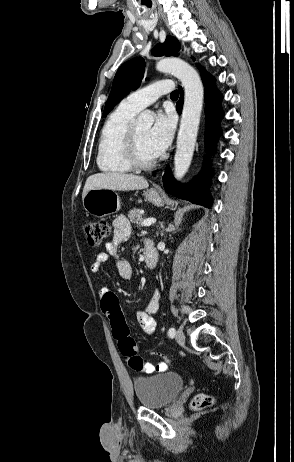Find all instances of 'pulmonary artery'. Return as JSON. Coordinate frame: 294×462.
Instances as JSON below:
<instances>
[{"label": "pulmonary artery", "mask_w": 294, "mask_h": 462, "mask_svg": "<svg viewBox=\"0 0 294 462\" xmlns=\"http://www.w3.org/2000/svg\"><path fill=\"white\" fill-rule=\"evenodd\" d=\"M172 90L173 85L169 79L159 80L130 93L121 103L129 109L139 112Z\"/></svg>", "instance_id": "pulmonary-artery-1"}]
</instances>
